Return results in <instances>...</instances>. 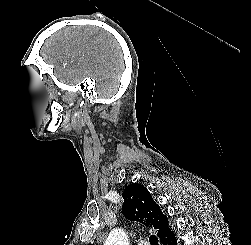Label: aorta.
<instances>
[{
	"mask_svg": "<svg viewBox=\"0 0 251 245\" xmlns=\"http://www.w3.org/2000/svg\"><path fill=\"white\" fill-rule=\"evenodd\" d=\"M104 245H129L126 234L121 229L110 232Z\"/></svg>",
	"mask_w": 251,
	"mask_h": 245,
	"instance_id": "1",
	"label": "aorta"
}]
</instances>
